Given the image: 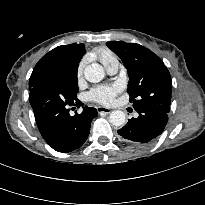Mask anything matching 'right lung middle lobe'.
<instances>
[{
	"mask_svg": "<svg viewBox=\"0 0 205 205\" xmlns=\"http://www.w3.org/2000/svg\"><path fill=\"white\" fill-rule=\"evenodd\" d=\"M69 81L71 82L72 86L76 91H78L77 85V70L71 71L67 74Z\"/></svg>",
	"mask_w": 205,
	"mask_h": 205,
	"instance_id": "obj_1",
	"label": "right lung middle lobe"
}]
</instances>
